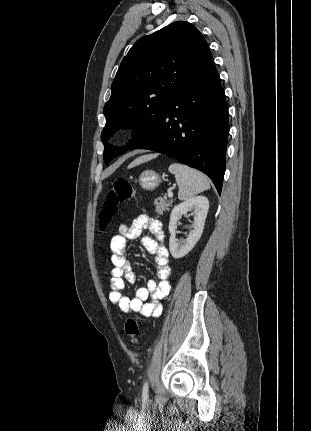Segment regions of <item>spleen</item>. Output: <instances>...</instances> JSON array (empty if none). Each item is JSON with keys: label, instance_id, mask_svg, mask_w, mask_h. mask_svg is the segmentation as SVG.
I'll return each instance as SVG.
<instances>
[{"label": "spleen", "instance_id": "obj_1", "mask_svg": "<svg viewBox=\"0 0 311 431\" xmlns=\"http://www.w3.org/2000/svg\"><path fill=\"white\" fill-rule=\"evenodd\" d=\"M168 172L175 176L179 188V200H190L193 196H197L200 192L210 188L208 178L204 174L193 170V168H188V166H183V164H171Z\"/></svg>", "mask_w": 311, "mask_h": 431}]
</instances>
